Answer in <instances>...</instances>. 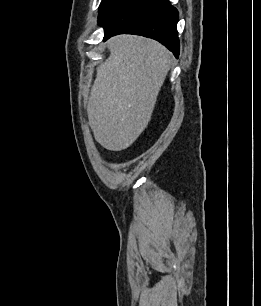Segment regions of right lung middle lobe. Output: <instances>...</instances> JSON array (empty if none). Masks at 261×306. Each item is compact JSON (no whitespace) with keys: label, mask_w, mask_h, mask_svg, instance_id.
Segmentation results:
<instances>
[{"label":"right lung middle lobe","mask_w":261,"mask_h":306,"mask_svg":"<svg viewBox=\"0 0 261 306\" xmlns=\"http://www.w3.org/2000/svg\"><path fill=\"white\" fill-rule=\"evenodd\" d=\"M111 1L112 0H102L99 7V12H101Z\"/></svg>","instance_id":"dd1d6c3e"}]
</instances>
